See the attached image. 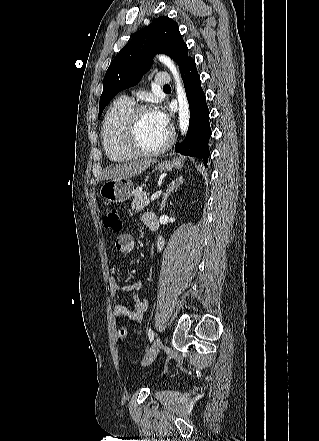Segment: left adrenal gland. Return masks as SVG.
<instances>
[{
	"mask_svg": "<svg viewBox=\"0 0 319 441\" xmlns=\"http://www.w3.org/2000/svg\"><path fill=\"white\" fill-rule=\"evenodd\" d=\"M181 183H182V177L180 176V177L176 178L175 180H172V182L167 186V189L165 190L163 198H162L160 211H162L165 208L167 198L171 194H173L174 192L178 191Z\"/></svg>",
	"mask_w": 319,
	"mask_h": 441,
	"instance_id": "obj_1",
	"label": "left adrenal gland"
}]
</instances>
